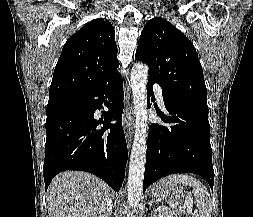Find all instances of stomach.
I'll use <instances>...</instances> for the list:
<instances>
[{
  "instance_id": "obj_1",
  "label": "stomach",
  "mask_w": 253,
  "mask_h": 217,
  "mask_svg": "<svg viewBox=\"0 0 253 217\" xmlns=\"http://www.w3.org/2000/svg\"><path fill=\"white\" fill-rule=\"evenodd\" d=\"M151 197L173 204L179 214L192 201L184 188L180 184L171 181L169 177L161 179L152 186Z\"/></svg>"
}]
</instances>
